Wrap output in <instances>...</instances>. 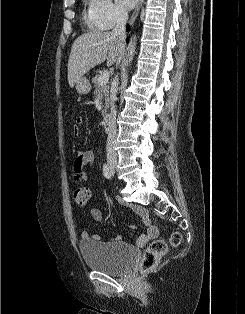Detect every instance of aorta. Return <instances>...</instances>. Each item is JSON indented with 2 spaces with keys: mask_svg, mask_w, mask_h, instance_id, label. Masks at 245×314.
I'll return each instance as SVG.
<instances>
[{
  "mask_svg": "<svg viewBox=\"0 0 245 314\" xmlns=\"http://www.w3.org/2000/svg\"><path fill=\"white\" fill-rule=\"evenodd\" d=\"M135 49H136V36H133L128 44V60H127L128 63H130L133 60Z\"/></svg>",
  "mask_w": 245,
  "mask_h": 314,
  "instance_id": "aorta-1",
  "label": "aorta"
}]
</instances>
